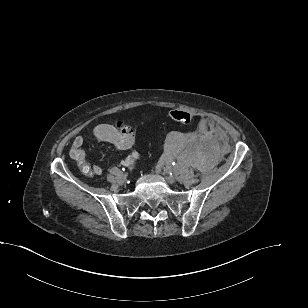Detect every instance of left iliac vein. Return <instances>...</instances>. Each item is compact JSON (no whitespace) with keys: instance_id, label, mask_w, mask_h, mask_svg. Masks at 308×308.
Instances as JSON below:
<instances>
[{"instance_id":"left-iliac-vein-1","label":"left iliac vein","mask_w":308,"mask_h":308,"mask_svg":"<svg viewBox=\"0 0 308 308\" xmlns=\"http://www.w3.org/2000/svg\"><path fill=\"white\" fill-rule=\"evenodd\" d=\"M159 171H161V170H159ZM169 169L168 168H163V174H165L166 176H165V178H166V180L170 183V184H175L176 183V178L174 177V176H172V175H169L168 173H169Z\"/></svg>"}]
</instances>
